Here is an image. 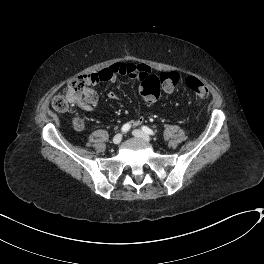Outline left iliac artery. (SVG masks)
<instances>
[{"label":"left iliac artery","instance_id":"left-iliac-artery-1","mask_svg":"<svg viewBox=\"0 0 264 264\" xmlns=\"http://www.w3.org/2000/svg\"><path fill=\"white\" fill-rule=\"evenodd\" d=\"M142 130L149 135H155V132L147 126H142Z\"/></svg>","mask_w":264,"mask_h":264}]
</instances>
